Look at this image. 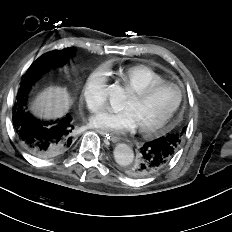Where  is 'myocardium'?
Instances as JSON below:
<instances>
[{
    "mask_svg": "<svg viewBox=\"0 0 232 232\" xmlns=\"http://www.w3.org/2000/svg\"><path fill=\"white\" fill-rule=\"evenodd\" d=\"M164 87H174L178 91V98L175 104L171 107L169 112L158 122L148 125V126H141L138 127V131L145 135L150 136L158 131L164 129L173 119L179 108L181 107L183 98H184V91L180 85L177 83L171 82V81H163V82H157V83H151L149 85H146L140 89L131 91V94L137 98L138 100H143L147 98L150 94L155 92L158 89L164 88Z\"/></svg>",
    "mask_w": 232,
    "mask_h": 232,
    "instance_id": "obj_1",
    "label": "myocardium"
}]
</instances>
